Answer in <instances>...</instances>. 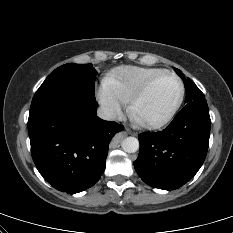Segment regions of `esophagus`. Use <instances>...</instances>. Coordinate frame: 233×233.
<instances>
[{
    "instance_id": "34e87169",
    "label": "esophagus",
    "mask_w": 233,
    "mask_h": 233,
    "mask_svg": "<svg viewBox=\"0 0 233 233\" xmlns=\"http://www.w3.org/2000/svg\"><path fill=\"white\" fill-rule=\"evenodd\" d=\"M127 133L128 134H131V135H136L134 132H132L130 129H126Z\"/></svg>"
}]
</instances>
